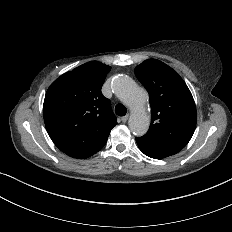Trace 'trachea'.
<instances>
[{
  "label": "trachea",
  "mask_w": 232,
  "mask_h": 232,
  "mask_svg": "<svg viewBox=\"0 0 232 232\" xmlns=\"http://www.w3.org/2000/svg\"><path fill=\"white\" fill-rule=\"evenodd\" d=\"M115 113L118 116H124L127 113V109L123 104H117L115 106Z\"/></svg>",
  "instance_id": "obj_1"
}]
</instances>
